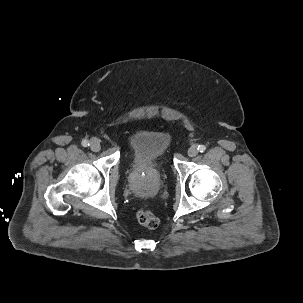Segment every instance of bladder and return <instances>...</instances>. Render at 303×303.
Instances as JSON below:
<instances>
[{
    "label": "bladder",
    "mask_w": 303,
    "mask_h": 303,
    "mask_svg": "<svg viewBox=\"0 0 303 303\" xmlns=\"http://www.w3.org/2000/svg\"><path fill=\"white\" fill-rule=\"evenodd\" d=\"M171 145V136L163 131L139 130L127 144V158L132 170L156 175L160 172Z\"/></svg>",
    "instance_id": "obj_1"
}]
</instances>
